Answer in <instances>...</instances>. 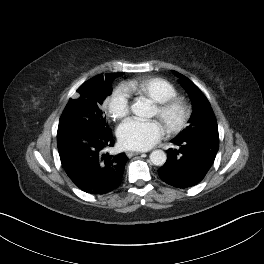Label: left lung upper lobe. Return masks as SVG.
Returning <instances> with one entry per match:
<instances>
[{"label":"left lung upper lobe","mask_w":264,"mask_h":264,"mask_svg":"<svg viewBox=\"0 0 264 264\" xmlns=\"http://www.w3.org/2000/svg\"><path fill=\"white\" fill-rule=\"evenodd\" d=\"M174 74L180 78L182 87L189 94L193 108V113L188 121L189 125L175 139L199 134L219 136L216 118L205 95L191 80L178 72L174 71Z\"/></svg>","instance_id":"obj_1"}]
</instances>
